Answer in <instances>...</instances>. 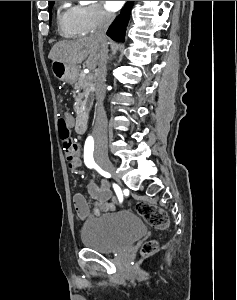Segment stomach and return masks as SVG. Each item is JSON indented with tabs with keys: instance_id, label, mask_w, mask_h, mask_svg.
I'll return each instance as SVG.
<instances>
[{
	"instance_id": "stomach-1",
	"label": "stomach",
	"mask_w": 237,
	"mask_h": 300,
	"mask_svg": "<svg viewBox=\"0 0 237 300\" xmlns=\"http://www.w3.org/2000/svg\"><path fill=\"white\" fill-rule=\"evenodd\" d=\"M51 71L59 81H66V83H75L78 77V67L76 65H66L62 61H52Z\"/></svg>"
}]
</instances>
